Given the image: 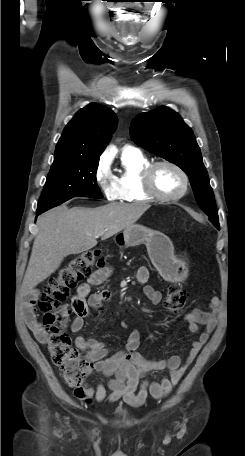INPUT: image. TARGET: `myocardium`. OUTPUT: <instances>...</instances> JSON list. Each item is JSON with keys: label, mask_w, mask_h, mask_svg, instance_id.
I'll return each mask as SVG.
<instances>
[{"label": "myocardium", "mask_w": 245, "mask_h": 456, "mask_svg": "<svg viewBox=\"0 0 245 456\" xmlns=\"http://www.w3.org/2000/svg\"><path fill=\"white\" fill-rule=\"evenodd\" d=\"M166 165L173 169H175L183 180V188L182 190L176 195H163L158 192L154 184V173L159 166ZM141 183L144 192L154 200L162 201V202H172L177 201L183 198L188 189H189V178L186 172L176 163L169 161V160H159L155 162H150L141 173Z\"/></svg>", "instance_id": "f54148a6"}]
</instances>
